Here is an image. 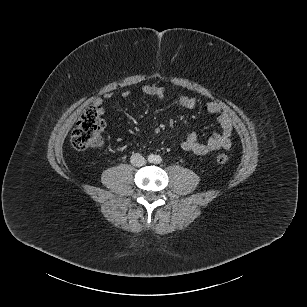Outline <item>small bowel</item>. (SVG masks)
Returning a JSON list of instances; mask_svg holds the SVG:
<instances>
[{
    "label": "small bowel",
    "mask_w": 307,
    "mask_h": 307,
    "mask_svg": "<svg viewBox=\"0 0 307 307\" xmlns=\"http://www.w3.org/2000/svg\"><path fill=\"white\" fill-rule=\"evenodd\" d=\"M142 92L148 96H156L158 98H165L167 91L159 86L147 84L142 87ZM129 91L121 93L122 98H128ZM112 93H107L103 98H96L93 106L97 107L100 115L104 113V101L111 100ZM179 104L186 109H194L198 105V101L194 97L182 95L179 97ZM206 110L216 116L219 125V131L213 133L205 142L200 141L195 132L189 133L181 142V148L193 155L203 156L211 152L220 150H229L231 148L230 136L233 132V123L228 115L222 110V107L217 102H207L205 105Z\"/></svg>",
    "instance_id": "c3829d8e"
}]
</instances>
